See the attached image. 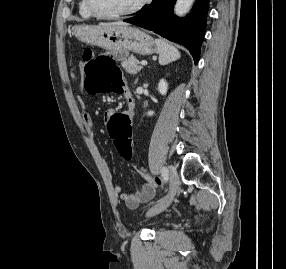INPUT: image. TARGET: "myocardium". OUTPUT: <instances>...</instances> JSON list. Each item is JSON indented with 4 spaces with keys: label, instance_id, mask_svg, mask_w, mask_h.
<instances>
[{
    "label": "myocardium",
    "instance_id": "1",
    "mask_svg": "<svg viewBox=\"0 0 286 269\" xmlns=\"http://www.w3.org/2000/svg\"><path fill=\"white\" fill-rule=\"evenodd\" d=\"M151 1L152 0H141L138 4H136L133 8L129 10L115 13V14H102L93 7L92 0H85L87 10L90 12L92 16L98 19H107V20L120 19V18H124V17L137 14L141 12L144 8H146L151 3Z\"/></svg>",
    "mask_w": 286,
    "mask_h": 269
}]
</instances>
